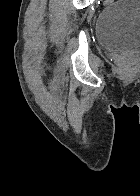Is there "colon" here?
<instances>
[{"label":"colon","mask_w":140,"mask_h":196,"mask_svg":"<svg viewBox=\"0 0 140 196\" xmlns=\"http://www.w3.org/2000/svg\"><path fill=\"white\" fill-rule=\"evenodd\" d=\"M116 0H105V5H110V4H112V3H114ZM119 68H120V70H126L127 69V65H126V63L124 62V61H121L120 63H119Z\"/></svg>","instance_id":"5ec220e1"}]
</instances>
